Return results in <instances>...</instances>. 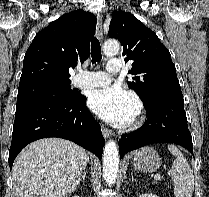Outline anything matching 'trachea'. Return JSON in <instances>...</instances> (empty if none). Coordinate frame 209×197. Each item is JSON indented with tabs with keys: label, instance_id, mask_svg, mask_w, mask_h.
<instances>
[{
	"label": "trachea",
	"instance_id": "obj_1",
	"mask_svg": "<svg viewBox=\"0 0 209 197\" xmlns=\"http://www.w3.org/2000/svg\"><path fill=\"white\" fill-rule=\"evenodd\" d=\"M91 57L93 64L99 62L102 58L100 42L96 37L91 42Z\"/></svg>",
	"mask_w": 209,
	"mask_h": 197
}]
</instances>
